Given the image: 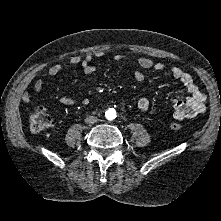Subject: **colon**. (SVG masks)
<instances>
[{
  "label": "colon",
  "mask_w": 221,
  "mask_h": 221,
  "mask_svg": "<svg viewBox=\"0 0 221 221\" xmlns=\"http://www.w3.org/2000/svg\"><path fill=\"white\" fill-rule=\"evenodd\" d=\"M29 124L33 132L42 133L51 127L52 119L44 108L39 107L31 114ZM170 128L173 131H181L185 128V125L181 120H176L171 122Z\"/></svg>",
  "instance_id": "obj_1"
}]
</instances>
